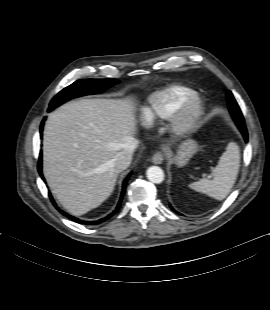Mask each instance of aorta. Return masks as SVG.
I'll return each instance as SVG.
<instances>
[{
  "mask_svg": "<svg viewBox=\"0 0 270 310\" xmlns=\"http://www.w3.org/2000/svg\"><path fill=\"white\" fill-rule=\"evenodd\" d=\"M147 178L150 182L159 184L164 180V172L158 166H151L147 169Z\"/></svg>",
  "mask_w": 270,
  "mask_h": 310,
  "instance_id": "obj_1",
  "label": "aorta"
}]
</instances>
